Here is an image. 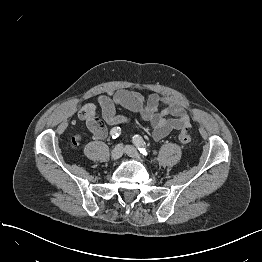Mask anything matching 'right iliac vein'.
<instances>
[{
    "label": "right iliac vein",
    "instance_id": "1",
    "mask_svg": "<svg viewBox=\"0 0 262 262\" xmlns=\"http://www.w3.org/2000/svg\"><path fill=\"white\" fill-rule=\"evenodd\" d=\"M124 149L122 145H117L111 152V160L117 161L123 155Z\"/></svg>",
    "mask_w": 262,
    "mask_h": 262
}]
</instances>
